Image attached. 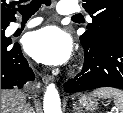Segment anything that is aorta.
<instances>
[{"mask_svg":"<svg viewBox=\"0 0 123 113\" xmlns=\"http://www.w3.org/2000/svg\"><path fill=\"white\" fill-rule=\"evenodd\" d=\"M43 108L44 113H62L59 93L54 84L46 87Z\"/></svg>","mask_w":123,"mask_h":113,"instance_id":"1","label":"aorta"}]
</instances>
